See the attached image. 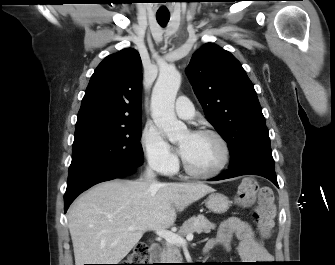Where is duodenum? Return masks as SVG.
<instances>
[{
  "instance_id": "410a0bca",
  "label": "duodenum",
  "mask_w": 335,
  "mask_h": 265,
  "mask_svg": "<svg viewBox=\"0 0 335 265\" xmlns=\"http://www.w3.org/2000/svg\"><path fill=\"white\" fill-rule=\"evenodd\" d=\"M151 260L153 262L157 261L158 253H159V246L157 244L151 247Z\"/></svg>"
}]
</instances>
